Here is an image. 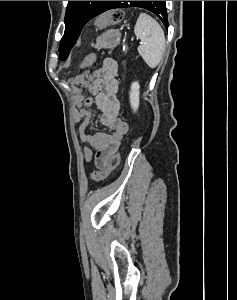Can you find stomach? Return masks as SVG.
Segmentation results:
<instances>
[{
	"label": "stomach",
	"instance_id": "stomach-1",
	"mask_svg": "<svg viewBox=\"0 0 237 300\" xmlns=\"http://www.w3.org/2000/svg\"><path fill=\"white\" fill-rule=\"evenodd\" d=\"M121 37L119 29H110V31H105L100 37H97L96 43H93L92 47L95 49H115L117 45H120Z\"/></svg>",
	"mask_w": 237,
	"mask_h": 300
}]
</instances>
